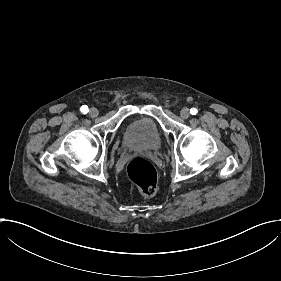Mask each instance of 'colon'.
Listing matches in <instances>:
<instances>
[{
  "mask_svg": "<svg viewBox=\"0 0 281 281\" xmlns=\"http://www.w3.org/2000/svg\"><path fill=\"white\" fill-rule=\"evenodd\" d=\"M130 181L145 193H150L157 188L158 177L152 164L145 158L133 157L127 166Z\"/></svg>",
  "mask_w": 281,
  "mask_h": 281,
  "instance_id": "obj_1",
  "label": "colon"
}]
</instances>
